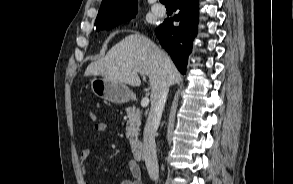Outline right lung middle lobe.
<instances>
[{
	"label": "right lung middle lobe",
	"instance_id": "right-lung-middle-lobe-1",
	"mask_svg": "<svg viewBox=\"0 0 293 184\" xmlns=\"http://www.w3.org/2000/svg\"><path fill=\"white\" fill-rule=\"evenodd\" d=\"M136 14L134 15H131L129 17H126V18H123V19H120V20H117V21H114V22H110V23H107V24H103V25H96V29L99 31V30H110L112 28H114L115 26L119 25L120 23L122 22H125V21H128L130 20L131 18L135 17Z\"/></svg>",
	"mask_w": 293,
	"mask_h": 184
}]
</instances>
